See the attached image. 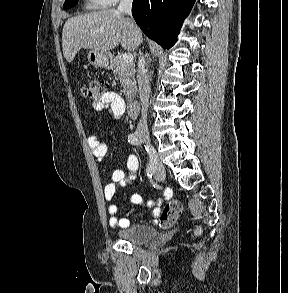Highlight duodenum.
Returning <instances> with one entry per match:
<instances>
[{
    "label": "duodenum",
    "mask_w": 288,
    "mask_h": 293,
    "mask_svg": "<svg viewBox=\"0 0 288 293\" xmlns=\"http://www.w3.org/2000/svg\"><path fill=\"white\" fill-rule=\"evenodd\" d=\"M140 108V102L138 99H133L129 102V112L132 115H136Z\"/></svg>",
    "instance_id": "1"
}]
</instances>
